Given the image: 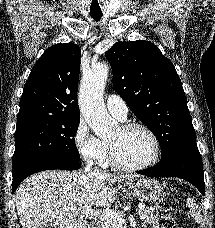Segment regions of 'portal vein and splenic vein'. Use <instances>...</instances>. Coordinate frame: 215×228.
<instances>
[{"mask_svg":"<svg viewBox=\"0 0 215 228\" xmlns=\"http://www.w3.org/2000/svg\"><path fill=\"white\" fill-rule=\"evenodd\" d=\"M139 210H145V206L143 204H139L138 206ZM82 214L86 216V218H99L101 222H117V220H120V216L116 214V212H112V210H91V206H86L84 208Z\"/></svg>","mask_w":215,"mask_h":228,"instance_id":"18ae733b","label":"portal vein and splenic vein"}]
</instances>
